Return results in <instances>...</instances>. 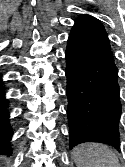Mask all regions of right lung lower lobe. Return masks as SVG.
Listing matches in <instances>:
<instances>
[{
	"mask_svg": "<svg viewBox=\"0 0 125 167\" xmlns=\"http://www.w3.org/2000/svg\"><path fill=\"white\" fill-rule=\"evenodd\" d=\"M0 74V154H10L12 128L9 124L8 100L5 98Z\"/></svg>",
	"mask_w": 125,
	"mask_h": 167,
	"instance_id": "obj_1",
	"label": "right lung lower lobe"
}]
</instances>
